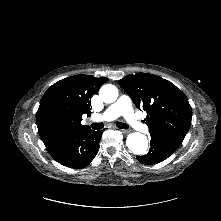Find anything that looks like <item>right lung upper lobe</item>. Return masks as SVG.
Here are the masks:
<instances>
[{
	"label": "right lung upper lobe",
	"instance_id": "obj_1",
	"mask_svg": "<svg viewBox=\"0 0 221 221\" xmlns=\"http://www.w3.org/2000/svg\"><path fill=\"white\" fill-rule=\"evenodd\" d=\"M108 81L91 75H75L50 86L40 100L36 123L47 150L89 130L82 115L91 113V98Z\"/></svg>",
	"mask_w": 221,
	"mask_h": 221
}]
</instances>
